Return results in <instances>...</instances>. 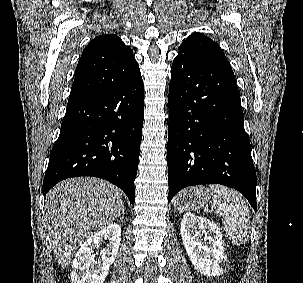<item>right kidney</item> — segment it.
<instances>
[{"mask_svg": "<svg viewBox=\"0 0 303 283\" xmlns=\"http://www.w3.org/2000/svg\"><path fill=\"white\" fill-rule=\"evenodd\" d=\"M121 240V228L110 224L91 235L79 248L72 263V283H104L111 264L114 263ZM108 242L100 251L98 262L94 260V249Z\"/></svg>", "mask_w": 303, "mask_h": 283, "instance_id": "ca27d5eb", "label": "right kidney"}]
</instances>
